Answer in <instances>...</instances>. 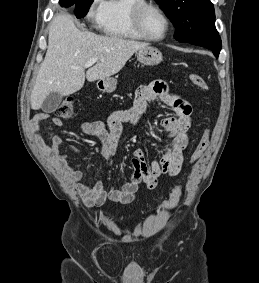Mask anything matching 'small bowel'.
<instances>
[{
	"mask_svg": "<svg viewBox=\"0 0 259 283\" xmlns=\"http://www.w3.org/2000/svg\"><path fill=\"white\" fill-rule=\"evenodd\" d=\"M156 100L169 106L175 112V116L161 120V126L168 133L169 138L165 154L159 161H153L148 166L143 150L135 149L132 160L134 172L130 181L120 188L107 187L104 180H98L92 185L83 183L84 173L76 164H69L66 161L68 153H78L79 150L71 146L66 152L62 151L60 136H53L48 144L43 142L40 123L50 119L54 126H61L59 118L49 113H38L30 120L29 129L37 142L52 157L55 165L63 171L71 188L86 205L100 206L106 200L130 203L134 200L140 186L144 185L147 189L152 190L157 186L161 176L174 177L181 171L183 152L189 141L188 130L191 126L192 106L187 101L171 94L164 82L154 81L149 85L140 86L136 90L133 107L115 111L106 124L101 121H87L82 124L84 133L101 141L100 153L107 164H111L122 134L121 125L125 122L136 124L145 113L148 103Z\"/></svg>",
	"mask_w": 259,
	"mask_h": 283,
	"instance_id": "obj_1",
	"label": "small bowel"
}]
</instances>
